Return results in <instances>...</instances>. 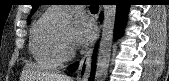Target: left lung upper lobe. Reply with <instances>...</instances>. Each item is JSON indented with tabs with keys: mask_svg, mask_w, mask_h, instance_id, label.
<instances>
[{
	"mask_svg": "<svg viewBox=\"0 0 169 81\" xmlns=\"http://www.w3.org/2000/svg\"><path fill=\"white\" fill-rule=\"evenodd\" d=\"M33 9H32V13L37 9V7L40 5L41 0H34L33 1Z\"/></svg>",
	"mask_w": 169,
	"mask_h": 81,
	"instance_id": "1",
	"label": "left lung upper lobe"
}]
</instances>
